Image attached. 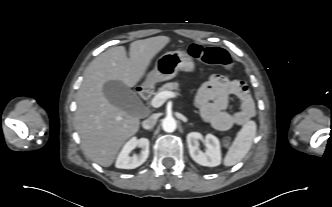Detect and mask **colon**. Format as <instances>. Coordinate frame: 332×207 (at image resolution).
Instances as JSON below:
<instances>
[{
    "mask_svg": "<svg viewBox=\"0 0 332 207\" xmlns=\"http://www.w3.org/2000/svg\"><path fill=\"white\" fill-rule=\"evenodd\" d=\"M188 52L192 57L206 64L219 65L228 70L233 69L231 57L224 49L215 47H203L199 44L192 43L188 48ZM230 142L231 139L229 137H225L223 139V143L226 146L229 145Z\"/></svg>",
    "mask_w": 332,
    "mask_h": 207,
    "instance_id": "obj_1",
    "label": "colon"
}]
</instances>
